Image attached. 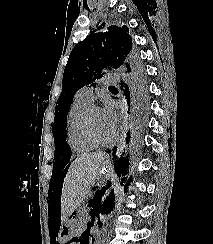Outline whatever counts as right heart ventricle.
<instances>
[{
	"label": "right heart ventricle",
	"mask_w": 213,
	"mask_h": 244,
	"mask_svg": "<svg viewBox=\"0 0 213 244\" xmlns=\"http://www.w3.org/2000/svg\"><path fill=\"white\" fill-rule=\"evenodd\" d=\"M91 104L92 102L76 95L67 114V142L76 153H86L96 147L95 144L88 140L83 130V116Z\"/></svg>",
	"instance_id": "e07e8e85"
}]
</instances>
